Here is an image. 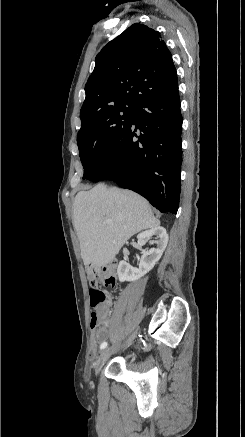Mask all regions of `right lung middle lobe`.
<instances>
[{"label": "right lung middle lobe", "instance_id": "obj_1", "mask_svg": "<svg viewBox=\"0 0 245 437\" xmlns=\"http://www.w3.org/2000/svg\"><path fill=\"white\" fill-rule=\"evenodd\" d=\"M135 105L118 104L105 108L81 124L77 135L83 179L111 154L132 121Z\"/></svg>", "mask_w": 245, "mask_h": 437}]
</instances>
